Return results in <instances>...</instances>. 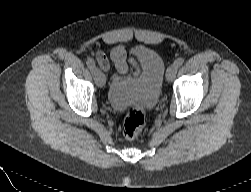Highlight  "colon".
Returning <instances> with one entry per match:
<instances>
[{
    "instance_id": "5ec220e1",
    "label": "colon",
    "mask_w": 251,
    "mask_h": 192,
    "mask_svg": "<svg viewBox=\"0 0 251 192\" xmlns=\"http://www.w3.org/2000/svg\"><path fill=\"white\" fill-rule=\"evenodd\" d=\"M145 125V114L141 108L132 107L129 109L124 120V136L128 140L136 139L142 132Z\"/></svg>"
}]
</instances>
